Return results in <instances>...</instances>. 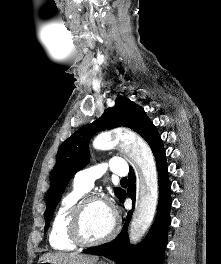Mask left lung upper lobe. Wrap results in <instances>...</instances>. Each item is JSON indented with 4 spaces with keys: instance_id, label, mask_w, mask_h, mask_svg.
Here are the masks:
<instances>
[{
    "instance_id": "left-lung-upper-lobe-1",
    "label": "left lung upper lobe",
    "mask_w": 221,
    "mask_h": 264,
    "mask_svg": "<svg viewBox=\"0 0 221 264\" xmlns=\"http://www.w3.org/2000/svg\"><path fill=\"white\" fill-rule=\"evenodd\" d=\"M116 127H128L137 132L148 142L152 152L162 141L143 108L126 97H118L114 107L106 109L93 123L81 127L60 146L56 165L52 171L50 188L46 194L44 232L49 227L50 219L69 181L89 160L88 144L91 137L97 131ZM114 190L120 199L124 191L121 188Z\"/></svg>"
}]
</instances>
